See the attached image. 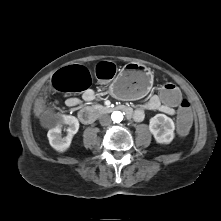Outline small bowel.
I'll list each match as a JSON object with an SVG mask.
<instances>
[{"label": "small bowel", "instance_id": "small-bowel-1", "mask_svg": "<svg viewBox=\"0 0 221 221\" xmlns=\"http://www.w3.org/2000/svg\"><path fill=\"white\" fill-rule=\"evenodd\" d=\"M95 97L96 94L92 89H87L82 94V100L85 102H91L95 99ZM80 104H81V99L78 97H70L66 100V105L71 108H76L80 106ZM175 108H168L164 106L159 98V95H152L147 100H145L140 107H138L133 111L132 116L135 121L141 122L145 118V110H157L164 114L172 116L175 114Z\"/></svg>", "mask_w": 221, "mask_h": 221}]
</instances>
